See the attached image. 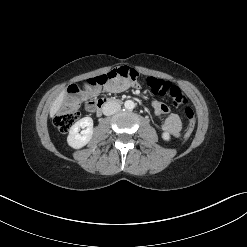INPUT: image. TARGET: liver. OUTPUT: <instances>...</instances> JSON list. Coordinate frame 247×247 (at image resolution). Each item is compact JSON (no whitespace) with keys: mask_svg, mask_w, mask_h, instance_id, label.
Masks as SVG:
<instances>
[{"mask_svg":"<svg viewBox=\"0 0 247 247\" xmlns=\"http://www.w3.org/2000/svg\"><path fill=\"white\" fill-rule=\"evenodd\" d=\"M65 96V91H62L58 97L52 103L50 108V117L53 118L56 113L60 110Z\"/></svg>","mask_w":247,"mask_h":247,"instance_id":"liver-1","label":"liver"}]
</instances>
